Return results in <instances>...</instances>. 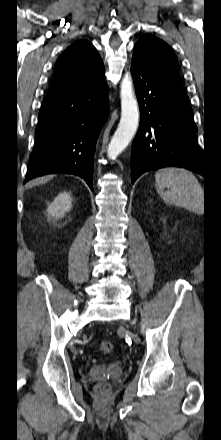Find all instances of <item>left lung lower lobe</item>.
Segmentation results:
<instances>
[{
	"mask_svg": "<svg viewBox=\"0 0 221 440\" xmlns=\"http://www.w3.org/2000/svg\"><path fill=\"white\" fill-rule=\"evenodd\" d=\"M131 73L140 108V126L132 144L131 181L144 172L176 166L206 176L197 127L182 84L158 75L133 54Z\"/></svg>",
	"mask_w": 221,
	"mask_h": 440,
	"instance_id": "obj_1",
	"label": "left lung lower lobe"
}]
</instances>
